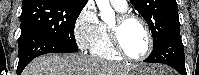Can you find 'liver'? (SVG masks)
I'll use <instances>...</instances> for the list:
<instances>
[{
	"instance_id": "obj_1",
	"label": "liver",
	"mask_w": 199,
	"mask_h": 75,
	"mask_svg": "<svg viewBox=\"0 0 199 75\" xmlns=\"http://www.w3.org/2000/svg\"><path fill=\"white\" fill-rule=\"evenodd\" d=\"M131 69L132 66L106 62L81 53L48 54L31 61L22 75H128Z\"/></svg>"
}]
</instances>
